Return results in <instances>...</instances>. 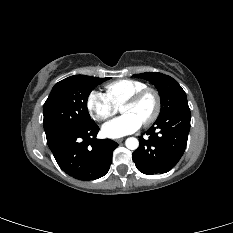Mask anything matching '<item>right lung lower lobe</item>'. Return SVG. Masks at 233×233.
Wrapping results in <instances>:
<instances>
[{"mask_svg": "<svg viewBox=\"0 0 233 233\" xmlns=\"http://www.w3.org/2000/svg\"><path fill=\"white\" fill-rule=\"evenodd\" d=\"M98 131L99 127L93 121L86 126L63 129L46 136L63 171L86 181L103 177L108 172L113 150L118 144L109 139H96Z\"/></svg>", "mask_w": 233, "mask_h": 233, "instance_id": "98d812e1", "label": "right lung lower lobe"}]
</instances>
